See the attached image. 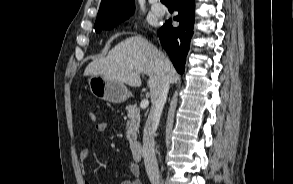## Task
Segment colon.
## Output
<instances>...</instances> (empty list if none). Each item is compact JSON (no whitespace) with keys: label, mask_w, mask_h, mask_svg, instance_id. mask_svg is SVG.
I'll return each mask as SVG.
<instances>
[{"label":"colon","mask_w":293,"mask_h":184,"mask_svg":"<svg viewBox=\"0 0 293 184\" xmlns=\"http://www.w3.org/2000/svg\"><path fill=\"white\" fill-rule=\"evenodd\" d=\"M88 115H89V119L91 121H95L96 120V114L93 111H90Z\"/></svg>","instance_id":"obj_1"}]
</instances>
